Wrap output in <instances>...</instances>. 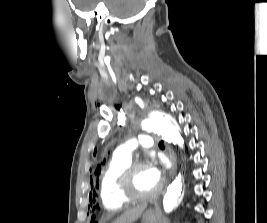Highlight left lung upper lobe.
I'll return each instance as SVG.
<instances>
[{
    "label": "left lung upper lobe",
    "instance_id": "obj_1",
    "mask_svg": "<svg viewBox=\"0 0 267 223\" xmlns=\"http://www.w3.org/2000/svg\"><path fill=\"white\" fill-rule=\"evenodd\" d=\"M101 167L100 165L97 166V169L95 171V175L100 174ZM91 184H92V179H91ZM98 187V184L96 185ZM95 195V192H94ZM87 214H102V209L100 206H89L87 209Z\"/></svg>",
    "mask_w": 267,
    "mask_h": 223
}]
</instances>
